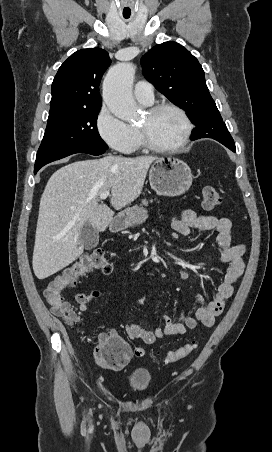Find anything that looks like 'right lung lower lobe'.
Masks as SVG:
<instances>
[{
    "label": "right lung lower lobe",
    "mask_w": 272,
    "mask_h": 452,
    "mask_svg": "<svg viewBox=\"0 0 272 452\" xmlns=\"http://www.w3.org/2000/svg\"><path fill=\"white\" fill-rule=\"evenodd\" d=\"M105 152V150L101 151H93L84 147H75L68 150H65L63 152L58 153H49V154H43L36 156L35 166H34V174L37 173V171L43 167L44 165L62 159L64 157H67L69 155L75 154V153H87L91 155H101Z\"/></svg>",
    "instance_id": "obj_1"
}]
</instances>
